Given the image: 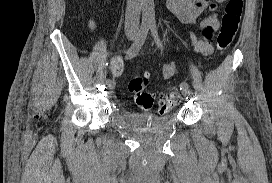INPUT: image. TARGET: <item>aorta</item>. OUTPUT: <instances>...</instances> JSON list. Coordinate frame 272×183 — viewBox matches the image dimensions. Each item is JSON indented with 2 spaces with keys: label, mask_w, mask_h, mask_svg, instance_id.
<instances>
[{
  "label": "aorta",
  "mask_w": 272,
  "mask_h": 183,
  "mask_svg": "<svg viewBox=\"0 0 272 183\" xmlns=\"http://www.w3.org/2000/svg\"><path fill=\"white\" fill-rule=\"evenodd\" d=\"M142 22L144 24L155 23V5L154 0H141Z\"/></svg>",
  "instance_id": "1"
}]
</instances>
